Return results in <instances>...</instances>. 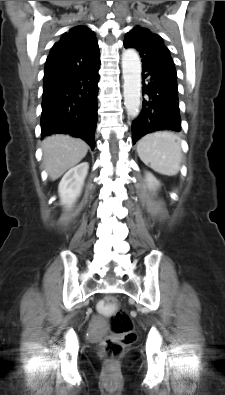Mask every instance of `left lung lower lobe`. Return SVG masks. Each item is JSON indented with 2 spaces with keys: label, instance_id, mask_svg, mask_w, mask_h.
<instances>
[{
  "label": "left lung lower lobe",
  "instance_id": "left-lung-lower-lobe-1",
  "mask_svg": "<svg viewBox=\"0 0 225 395\" xmlns=\"http://www.w3.org/2000/svg\"><path fill=\"white\" fill-rule=\"evenodd\" d=\"M142 76V94L146 97L139 117L132 124L133 143L157 130H181L177 74L142 68Z\"/></svg>",
  "mask_w": 225,
  "mask_h": 395
}]
</instances>
